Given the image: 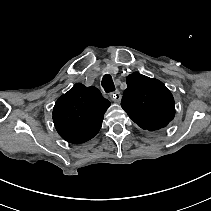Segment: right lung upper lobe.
Instances as JSON below:
<instances>
[{
  "instance_id": "1",
  "label": "right lung upper lobe",
  "mask_w": 211,
  "mask_h": 211,
  "mask_svg": "<svg viewBox=\"0 0 211 211\" xmlns=\"http://www.w3.org/2000/svg\"><path fill=\"white\" fill-rule=\"evenodd\" d=\"M109 106L96 87L75 84L56 101L54 125L64 140L73 144L86 142L99 132Z\"/></svg>"
}]
</instances>
